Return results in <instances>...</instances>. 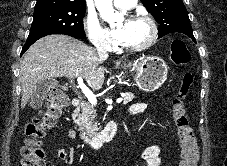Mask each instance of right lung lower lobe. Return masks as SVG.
Wrapping results in <instances>:
<instances>
[{"mask_svg":"<svg viewBox=\"0 0 227 166\" xmlns=\"http://www.w3.org/2000/svg\"><path fill=\"white\" fill-rule=\"evenodd\" d=\"M65 35H69V34H65ZM46 36V35H45ZM69 36H72V37H75V38H78V39H82V38H79L77 36H73V35H69ZM44 36H41L39 38H36V39H31V40H27L25 45L23 46L22 48V51H21V55L34 43L36 42L38 39L42 38Z\"/></svg>","mask_w":227,"mask_h":166,"instance_id":"obj_1","label":"right lung lower lobe"}]
</instances>
